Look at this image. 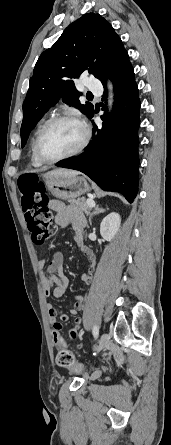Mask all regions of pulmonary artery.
I'll return each instance as SVG.
<instances>
[{
	"label": "pulmonary artery",
	"mask_w": 171,
	"mask_h": 445,
	"mask_svg": "<svg viewBox=\"0 0 171 445\" xmlns=\"http://www.w3.org/2000/svg\"><path fill=\"white\" fill-rule=\"evenodd\" d=\"M87 87L91 92H100L102 91V84L98 79L90 78L87 83Z\"/></svg>",
	"instance_id": "1"
}]
</instances>
